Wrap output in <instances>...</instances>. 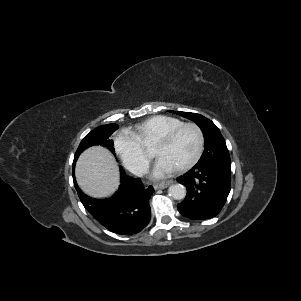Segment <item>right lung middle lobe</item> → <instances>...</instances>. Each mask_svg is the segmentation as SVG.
Returning a JSON list of instances; mask_svg holds the SVG:
<instances>
[{
  "mask_svg": "<svg viewBox=\"0 0 301 301\" xmlns=\"http://www.w3.org/2000/svg\"><path fill=\"white\" fill-rule=\"evenodd\" d=\"M118 129L117 124H108L103 125L100 127L95 128L90 133H88L83 140L81 141L74 157V165L78 158V156L88 147L92 145H102L104 147H107L109 150H111L113 153V140H111L109 137L112 135L114 131Z\"/></svg>",
  "mask_w": 301,
  "mask_h": 301,
  "instance_id": "dd1d6c3e",
  "label": "right lung middle lobe"
}]
</instances>
